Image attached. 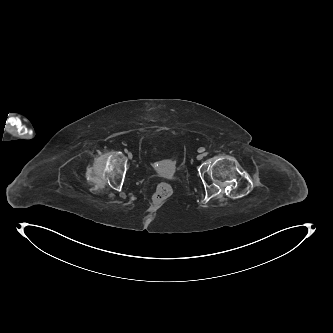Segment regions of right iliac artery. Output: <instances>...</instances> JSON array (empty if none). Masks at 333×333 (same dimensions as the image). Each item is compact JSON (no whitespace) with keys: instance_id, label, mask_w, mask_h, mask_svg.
<instances>
[{"instance_id":"82829eb1","label":"right iliac artery","mask_w":333,"mask_h":333,"mask_svg":"<svg viewBox=\"0 0 333 333\" xmlns=\"http://www.w3.org/2000/svg\"><path fill=\"white\" fill-rule=\"evenodd\" d=\"M125 153H128V150L127 149H124Z\"/></svg>"}]
</instances>
